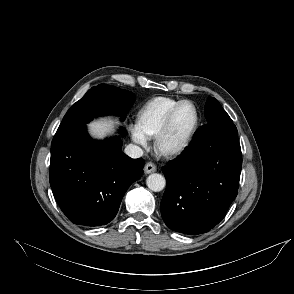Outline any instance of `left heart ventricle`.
Masks as SVG:
<instances>
[{"mask_svg":"<svg viewBox=\"0 0 294 294\" xmlns=\"http://www.w3.org/2000/svg\"><path fill=\"white\" fill-rule=\"evenodd\" d=\"M196 119L195 109L190 104L183 105L177 112L172 126L166 135L163 146L165 148H173L187 138Z\"/></svg>","mask_w":294,"mask_h":294,"instance_id":"b2bd125f","label":"left heart ventricle"}]
</instances>
